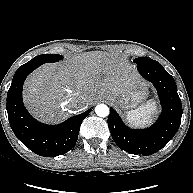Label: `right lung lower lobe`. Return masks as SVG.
<instances>
[{
    "instance_id": "98d812e1",
    "label": "right lung lower lobe",
    "mask_w": 193,
    "mask_h": 193,
    "mask_svg": "<svg viewBox=\"0 0 193 193\" xmlns=\"http://www.w3.org/2000/svg\"><path fill=\"white\" fill-rule=\"evenodd\" d=\"M40 65L42 64L27 62L16 71L7 93L6 108L10 126L16 137L34 153L54 157L74 147L80 125L91 109L59 125H46L35 120L23 105L22 87L25 78Z\"/></svg>"
}]
</instances>
